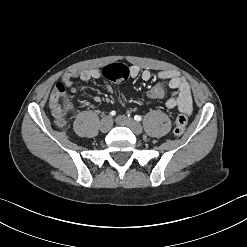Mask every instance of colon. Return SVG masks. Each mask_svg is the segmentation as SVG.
Wrapping results in <instances>:
<instances>
[{
  "mask_svg": "<svg viewBox=\"0 0 247 247\" xmlns=\"http://www.w3.org/2000/svg\"><path fill=\"white\" fill-rule=\"evenodd\" d=\"M103 76L114 82H122L129 78L130 69L124 64H110L102 71ZM148 96L153 99H159L164 96L163 84L159 83L148 92ZM50 107L59 124L64 122L66 111L70 108L69 97L65 86L57 83L50 96ZM187 117L185 114H179L176 117L173 133L176 137L183 135L186 129Z\"/></svg>",
  "mask_w": 247,
  "mask_h": 247,
  "instance_id": "1",
  "label": "colon"
}]
</instances>
